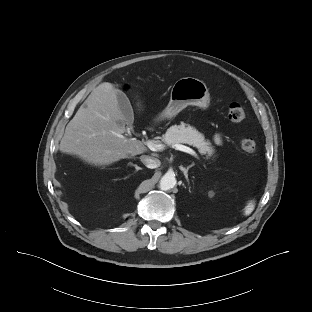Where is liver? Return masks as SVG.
Wrapping results in <instances>:
<instances>
[{
    "label": "liver",
    "mask_w": 312,
    "mask_h": 312,
    "mask_svg": "<svg viewBox=\"0 0 312 312\" xmlns=\"http://www.w3.org/2000/svg\"><path fill=\"white\" fill-rule=\"evenodd\" d=\"M118 92L108 82L91 92L67 124L59 145L61 152L98 167L146 152L140 141L123 135L126 119L119 108Z\"/></svg>",
    "instance_id": "1"
}]
</instances>
